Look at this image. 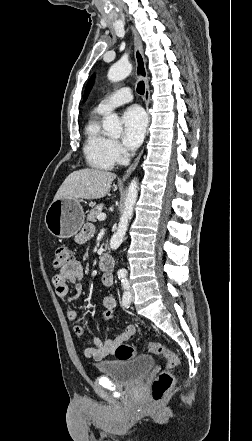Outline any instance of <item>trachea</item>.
Wrapping results in <instances>:
<instances>
[{
  "mask_svg": "<svg viewBox=\"0 0 252 441\" xmlns=\"http://www.w3.org/2000/svg\"><path fill=\"white\" fill-rule=\"evenodd\" d=\"M137 92H138L140 95H143V94H144V92H145V84H144L143 81H140V82L138 83V85H137Z\"/></svg>",
  "mask_w": 252,
  "mask_h": 441,
  "instance_id": "1",
  "label": "trachea"
}]
</instances>
